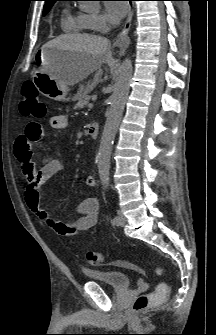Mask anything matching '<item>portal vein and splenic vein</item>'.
Here are the masks:
<instances>
[{
    "instance_id": "18ae733b",
    "label": "portal vein and splenic vein",
    "mask_w": 216,
    "mask_h": 335,
    "mask_svg": "<svg viewBox=\"0 0 216 335\" xmlns=\"http://www.w3.org/2000/svg\"><path fill=\"white\" fill-rule=\"evenodd\" d=\"M88 107H89V108H92V107H93V104H92V103H90V104L88 105Z\"/></svg>"
}]
</instances>
